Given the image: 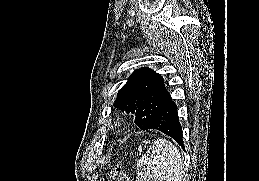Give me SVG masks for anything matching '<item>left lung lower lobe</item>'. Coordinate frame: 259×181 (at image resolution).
I'll list each match as a JSON object with an SVG mask.
<instances>
[{"instance_id":"obj_1","label":"left lung lower lobe","mask_w":259,"mask_h":181,"mask_svg":"<svg viewBox=\"0 0 259 181\" xmlns=\"http://www.w3.org/2000/svg\"><path fill=\"white\" fill-rule=\"evenodd\" d=\"M148 129H156L163 132L172 137L184 149L182 128L179 122L177 106L172 101L171 96H169L157 116L144 130Z\"/></svg>"}]
</instances>
